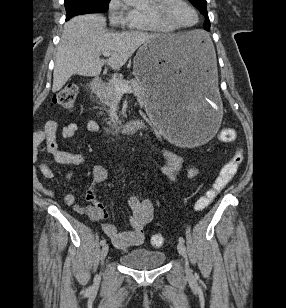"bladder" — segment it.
<instances>
[{
	"label": "bladder",
	"mask_w": 286,
	"mask_h": 308,
	"mask_svg": "<svg viewBox=\"0 0 286 308\" xmlns=\"http://www.w3.org/2000/svg\"><path fill=\"white\" fill-rule=\"evenodd\" d=\"M119 259L127 268L152 270L160 267L165 262L166 255L160 250L139 247L122 253Z\"/></svg>",
	"instance_id": "bladder-1"
}]
</instances>
